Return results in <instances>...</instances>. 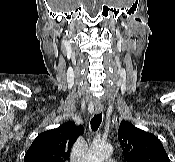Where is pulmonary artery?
<instances>
[{"instance_id":"e3ab8cb5","label":"pulmonary artery","mask_w":175,"mask_h":162,"mask_svg":"<svg viewBox=\"0 0 175 162\" xmlns=\"http://www.w3.org/2000/svg\"><path fill=\"white\" fill-rule=\"evenodd\" d=\"M103 162H115V161L112 159H107V160H104Z\"/></svg>"}]
</instances>
